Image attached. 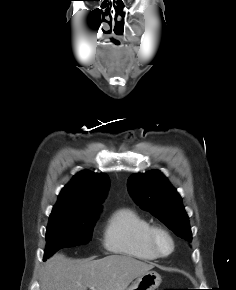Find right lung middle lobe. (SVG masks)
Segmentation results:
<instances>
[{
	"mask_svg": "<svg viewBox=\"0 0 236 290\" xmlns=\"http://www.w3.org/2000/svg\"><path fill=\"white\" fill-rule=\"evenodd\" d=\"M98 214L50 215L44 260L61 248L87 244L91 240Z\"/></svg>",
	"mask_w": 236,
	"mask_h": 290,
	"instance_id": "dd1d6c3e",
	"label": "right lung middle lobe"
}]
</instances>
